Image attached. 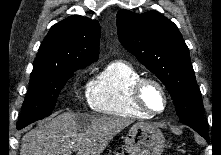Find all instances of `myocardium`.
<instances>
[{
	"instance_id": "1",
	"label": "myocardium",
	"mask_w": 221,
	"mask_h": 155,
	"mask_svg": "<svg viewBox=\"0 0 221 155\" xmlns=\"http://www.w3.org/2000/svg\"><path fill=\"white\" fill-rule=\"evenodd\" d=\"M149 84L156 86L163 96L164 105H163V108L159 111H155V110L150 109L146 105V103L143 99L144 88ZM131 97H132V101H133L134 105L140 111L146 113L149 116H157V115L164 113L169 105V95H168L166 88L164 87V85L160 81H158L157 79L151 78V77H141L134 84V86L132 88V92H131Z\"/></svg>"
}]
</instances>
